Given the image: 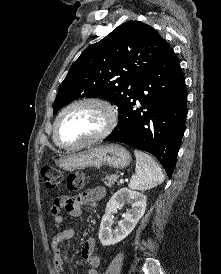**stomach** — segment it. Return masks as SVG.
Wrapping results in <instances>:
<instances>
[{
  "label": "stomach",
  "instance_id": "0dacf381",
  "mask_svg": "<svg viewBox=\"0 0 221 274\" xmlns=\"http://www.w3.org/2000/svg\"><path fill=\"white\" fill-rule=\"evenodd\" d=\"M131 162L129 152L117 144L99 145L87 150L70 153L56 161L57 165L66 171L76 168L107 165L116 169H124Z\"/></svg>",
  "mask_w": 221,
  "mask_h": 274
}]
</instances>
